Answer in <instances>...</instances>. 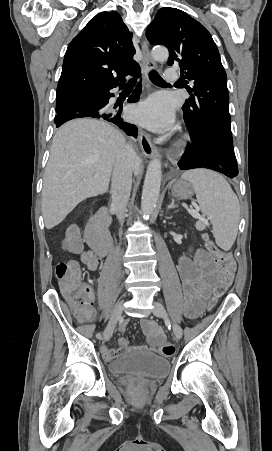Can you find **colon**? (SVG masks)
I'll return each instance as SVG.
<instances>
[{
    "label": "colon",
    "instance_id": "5ec220e1",
    "mask_svg": "<svg viewBox=\"0 0 272 451\" xmlns=\"http://www.w3.org/2000/svg\"><path fill=\"white\" fill-rule=\"evenodd\" d=\"M82 247L79 230H65L62 237V248L65 249V256H79ZM209 251L216 258L219 266L213 272V298L221 296L225 290L232 284L235 277L236 263L231 252L220 250L215 244L208 245ZM79 265L77 258L70 261H63L56 265L55 273L58 279L59 288L64 289V296L67 303H72V310H87L91 304L93 294L83 287L80 280V271L76 269ZM174 346L168 342L161 344L163 354L171 355L174 353ZM134 386L138 383L134 382Z\"/></svg>",
    "mask_w": 272,
    "mask_h": 451
}]
</instances>
